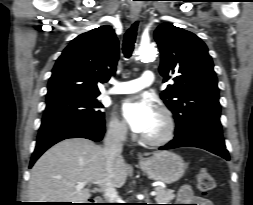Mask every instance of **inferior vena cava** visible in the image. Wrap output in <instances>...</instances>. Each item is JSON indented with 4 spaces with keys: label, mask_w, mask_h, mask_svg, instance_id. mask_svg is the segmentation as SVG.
<instances>
[{
    "label": "inferior vena cava",
    "mask_w": 253,
    "mask_h": 205,
    "mask_svg": "<svg viewBox=\"0 0 253 205\" xmlns=\"http://www.w3.org/2000/svg\"><path fill=\"white\" fill-rule=\"evenodd\" d=\"M127 127L125 124H115L109 127L104 138L103 153L107 158V170L117 157L121 156L123 142L126 139ZM104 196L109 200V203L118 200V195L115 187L110 183L105 186Z\"/></svg>",
    "instance_id": "1"
}]
</instances>
